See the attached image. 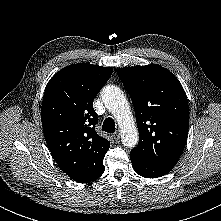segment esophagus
I'll list each match as a JSON object with an SVG mask.
<instances>
[{
	"mask_svg": "<svg viewBox=\"0 0 221 221\" xmlns=\"http://www.w3.org/2000/svg\"><path fill=\"white\" fill-rule=\"evenodd\" d=\"M113 138H114V140H119L120 139V134H119V132H115L114 134H113Z\"/></svg>",
	"mask_w": 221,
	"mask_h": 221,
	"instance_id": "obj_1",
	"label": "esophagus"
}]
</instances>
